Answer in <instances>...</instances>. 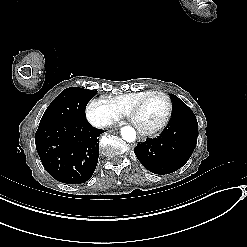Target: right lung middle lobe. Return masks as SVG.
<instances>
[{"label":"right lung middle lobe","mask_w":247,"mask_h":247,"mask_svg":"<svg viewBox=\"0 0 247 247\" xmlns=\"http://www.w3.org/2000/svg\"><path fill=\"white\" fill-rule=\"evenodd\" d=\"M97 91L79 87L63 90L48 106L39 125L56 121H85V109Z\"/></svg>","instance_id":"dd1d6c3e"}]
</instances>
